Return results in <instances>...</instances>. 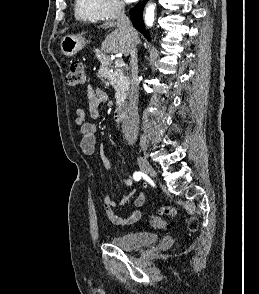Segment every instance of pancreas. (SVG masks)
Here are the masks:
<instances>
[{"instance_id":"pancreas-1","label":"pancreas","mask_w":259,"mask_h":294,"mask_svg":"<svg viewBox=\"0 0 259 294\" xmlns=\"http://www.w3.org/2000/svg\"><path fill=\"white\" fill-rule=\"evenodd\" d=\"M99 73L114 87L116 91V104H123L129 91V78L125 75V72L116 67L111 72L109 66L106 63H102Z\"/></svg>"}]
</instances>
